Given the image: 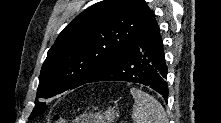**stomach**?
Here are the masks:
<instances>
[{
  "mask_svg": "<svg viewBox=\"0 0 221 123\" xmlns=\"http://www.w3.org/2000/svg\"><path fill=\"white\" fill-rule=\"evenodd\" d=\"M119 112L113 107L102 113L83 114L75 120V123H114Z\"/></svg>",
  "mask_w": 221,
  "mask_h": 123,
  "instance_id": "obj_1",
  "label": "stomach"
}]
</instances>
